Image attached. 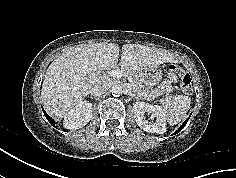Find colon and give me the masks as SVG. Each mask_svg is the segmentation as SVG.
<instances>
[{"instance_id": "colon-1", "label": "colon", "mask_w": 236, "mask_h": 178, "mask_svg": "<svg viewBox=\"0 0 236 178\" xmlns=\"http://www.w3.org/2000/svg\"><path fill=\"white\" fill-rule=\"evenodd\" d=\"M168 73L174 76H181V87L184 93L190 94L192 90V78L188 73H185L178 65H170Z\"/></svg>"}]
</instances>
